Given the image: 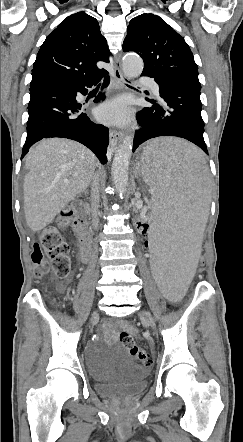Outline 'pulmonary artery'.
Listing matches in <instances>:
<instances>
[{
	"instance_id": "obj_1",
	"label": "pulmonary artery",
	"mask_w": 243,
	"mask_h": 442,
	"mask_svg": "<svg viewBox=\"0 0 243 442\" xmlns=\"http://www.w3.org/2000/svg\"><path fill=\"white\" fill-rule=\"evenodd\" d=\"M142 83L146 84L154 95H159V86L156 82L144 79Z\"/></svg>"
}]
</instances>
